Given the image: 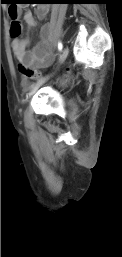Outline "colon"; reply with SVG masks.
<instances>
[{
	"mask_svg": "<svg viewBox=\"0 0 122 257\" xmlns=\"http://www.w3.org/2000/svg\"><path fill=\"white\" fill-rule=\"evenodd\" d=\"M6 10H9V16L11 18L10 34L13 38H19L22 33V24L18 19V10H23V5H6ZM19 71L26 80L38 79L40 77L38 70L23 64L19 65ZM69 78V75H65L61 79V82L64 83Z\"/></svg>",
	"mask_w": 122,
	"mask_h": 257,
	"instance_id": "1",
	"label": "colon"
}]
</instances>
